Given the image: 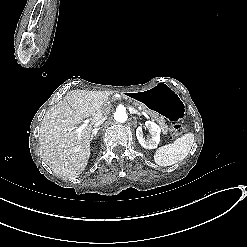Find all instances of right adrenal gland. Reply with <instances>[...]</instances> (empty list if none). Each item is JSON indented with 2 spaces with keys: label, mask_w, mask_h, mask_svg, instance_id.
Segmentation results:
<instances>
[{
  "label": "right adrenal gland",
  "mask_w": 247,
  "mask_h": 247,
  "mask_svg": "<svg viewBox=\"0 0 247 247\" xmlns=\"http://www.w3.org/2000/svg\"><path fill=\"white\" fill-rule=\"evenodd\" d=\"M99 130H100L99 127L92 130V135H91V138H90L91 141H92V139H93L94 137H96V134H97V132H98Z\"/></svg>",
  "instance_id": "right-adrenal-gland-1"
}]
</instances>
